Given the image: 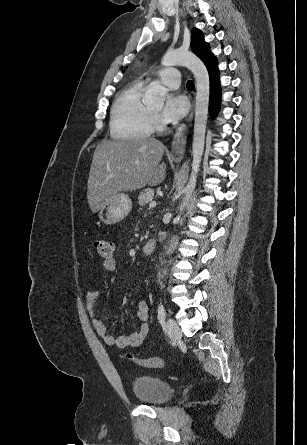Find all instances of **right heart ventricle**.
<instances>
[{
    "label": "right heart ventricle",
    "mask_w": 307,
    "mask_h": 445,
    "mask_svg": "<svg viewBox=\"0 0 307 445\" xmlns=\"http://www.w3.org/2000/svg\"><path fill=\"white\" fill-rule=\"evenodd\" d=\"M144 94L145 85L135 82L118 95L111 110L112 138L149 140L147 136L152 131V121L143 100Z\"/></svg>",
    "instance_id": "obj_1"
}]
</instances>
